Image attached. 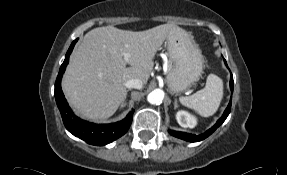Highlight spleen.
<instances>
[{
    "instance_id": "3e777b00",
    "label": "spleen",
    "mask_w": 287,
    "mask_h": 175,
    "mask_svg": "<svg viewBox=\"0 0 287 175\" xmlns=\"http://www.w3.org/2000/svg\"><path fill=\"white\" fill-rule=\"evenodd\" d=\"M223 98V81L215 74H209L206 85L191 96L180 97L182 105L195 110L203 117L216 113Z\"/></svg>"
}]
</instances>
